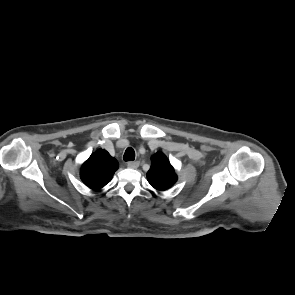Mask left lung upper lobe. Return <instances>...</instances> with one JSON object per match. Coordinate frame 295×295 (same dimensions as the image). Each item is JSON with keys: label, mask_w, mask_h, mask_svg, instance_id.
I'll list each match as a JSON object with an SVG mask.
<instances>
[{"label": "left lung upper lobe", "mask_w": 295, "mask_h": 295, "mask_svg": "<svg viewBox=\"0 0 295 295\" xmlns=\"http://www.w3.org/2000/svg\"><path fill=\"white\" fill-rule=\"evenodd\" d=\"M147 179L150 185L158 191L167 190L176 183L177 175L174 168L162 152H157L152 156Z\"/></svg>", "instance_id": "5c2ea615"}]
</instances>
